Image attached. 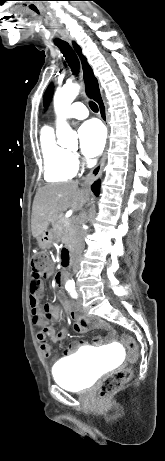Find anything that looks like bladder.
Listing matches in <instances>:
<instances>
[{"label": "bladder", "instance_id": "bladder-1", "mask_svg": "<svg viewBox=\"0 0 165 461\" xmlns=\"http://www.w3.org/2000/svg\"><path fill=\"white\" fill-rule=\"evenodd\" d=\"M94 352L79 351L57 362L52 368V376L61 387L71 391H82L92 386L105 372L106 360H99Z\"/></svg>", "mask_w": 165, "mask_h": 461}]
</instances>
